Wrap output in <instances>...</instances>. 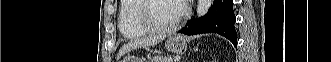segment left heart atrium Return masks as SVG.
Wrapping results in <instances>:
<instances>
[{"mask_svg": "<svg viewBox=\"0 0 331 62\" xmlns=\"http://www.w3.org/2000/svg\"><path fill=\"white\" fill-rule=\"evenodd\" d=\"M177 3L179 5V13L183 12V10L185 8L186 1L185 0H178Z\"/></svg>", "mask_w": 331, "mask_h": 62, "instance_id": "left-heart-atrium-1", "label": "left heart atrium"}]
</instances>
